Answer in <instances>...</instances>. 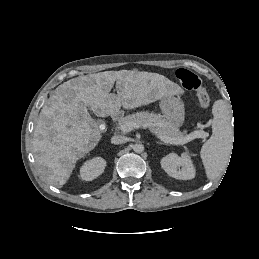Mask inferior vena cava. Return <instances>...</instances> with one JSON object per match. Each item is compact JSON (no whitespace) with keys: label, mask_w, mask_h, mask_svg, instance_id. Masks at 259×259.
<instances>
[{"label":"inferior vena cava","mask_w":259,"mask_h":259,"mask_svg":"<svg viewBox=\"0 0 259 259\" xmlns=\"http://www.w3.org/2000/svg\"><path fill=\"white\" fill-rule=\"evenodd\" d=\"M127 142V138L121 135H115L111 138V143L113 144H123Z\"/></svg>","instance_id":"1"}]
</instances>
